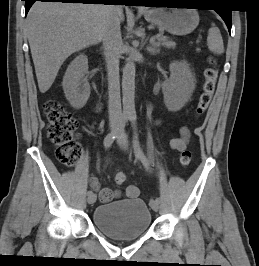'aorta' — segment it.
Instances as JSON below:
<instances>
[{"instance_id":"obj_1","label":"aorta","mask_w":259,"mask_h":266,"mask_svg":"<svg viewBox=\"0 0 259 266\" xmlns=\"http://www.w3.org/2000/svg\"><path fill=\"white\" fill-rule=\"evenodd\" d=\"M135 72V60L130 57L123 68L122 76V102L125 117L135 114Z\"/></svg>"}]
</instances>
